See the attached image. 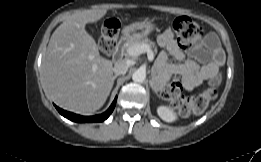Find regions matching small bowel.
<instances>
[{
  "instance_id": "1",
  "label": "small bowel",
  "mask_w": 261,
  "mask_h": 162,
  "mask_svg": "<svg viewBox=\"0 0 261 162\" xmlns=\"http://www.w3.org/2000/svg\"><path fill=\"white\" fill-rule=\"evenodd\" d=\"M157 41L166 49L165 52L159 54L156 63L164 77L173 74L180 75L187 90L194 89L204 80H208L211 85H218L219 68L224 64L225 54L215 35H207L203 40L193 44L189 50V54L203 64L201 67L193 60L184 61L185 53L181 50L171 30L166 29L159 33ZM169 55L184 62L172 64L169 62Z\"/></svg>"
}]
</instances>
